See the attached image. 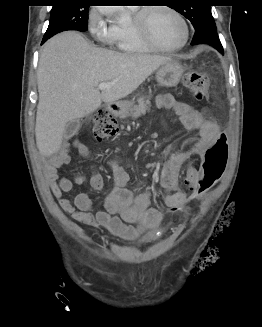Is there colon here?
Wrapping results in <instances>:
<instances>
[{
    "label": "colon",
    "instance_id": "1",
    "mask_svg": "<svg viewBox=\"0 0 262 327\" xmlns=\"http://www.w3.org/2000/svg\"><path fill=\"white\" fill-rule=\"evenodd\" d=\"M184 85L188 92L197 99L207 97L208 78L205 74L190 71L184 76ZM118 127L111 113L106 109H100L93 117V135L98 141H102L115 135ZM228 159V144L224 134L208 147L199 159L197 168L199 178L196 188L187 196L186 201L178 206L168 209L170 212H181L190 203L197 201L207 192L221 177L225 170Z\"/></svg>",
    "mask_w": 262,
    "mask_h": 327
}]
</instances>
